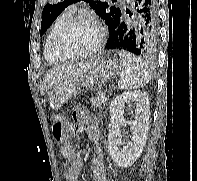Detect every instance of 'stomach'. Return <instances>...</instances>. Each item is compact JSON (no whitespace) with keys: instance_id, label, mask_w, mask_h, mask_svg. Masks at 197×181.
Segmentation results:
<instances>
[{"instance_id":"1","label":"stomach","mask_w":197,"mask_h":181,"mask_svg":"<svg viewBox=\"0 0 197 181\" xmlns=\"http://www.w3.org/2000/svg\"><path fill=\"white\" fill-rule=\"evenodd\" d=\"M115 59L98 58L88 62L85 71L55 84L49 93L50 106L60 109L68 100L84 88L101 86L120 73Z\"/></svg>"}]
</instances>
